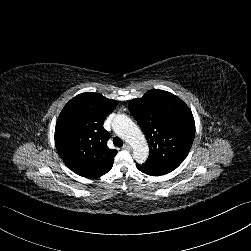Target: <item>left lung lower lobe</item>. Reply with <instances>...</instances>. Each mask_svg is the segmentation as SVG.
<instances>
[{
	"mask_svg": "<svg viewBox=\"0 0 251 251\" xmlns=\"http://www.w3.org/2000/svg\"><path fill=\"white\" fill-rule=\"evenodd\" d=\"M136 165H137V168L141 172L150 176L164 175V174L172 172L173 170L177 168L176 166H173L170 164H164V163L155 162L151 160H147L145 164H142V165L136 164Z\"/></svg>",
	"mask_w": 251,
	"mask_h": 251,
	"instance_id": "0a47b994",
	"label": "left lung lower lobe"
}]
</instances>
